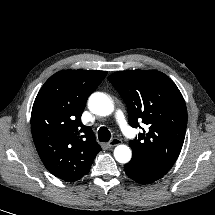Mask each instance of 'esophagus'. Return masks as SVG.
Returning a JSON list of instances; mask_svg holds the SVG:
<instances>
[{
    "label": "esophagus",
    "instance_id": "esophagus-1",
    "mask_svg": "<svg viewBox=\"0 0 215 215\" xmlns=\"http://www.w3.org/2000/svg\"><path fill=\"white\" fill-rule=\"evenodd\" d=\"M119 144H121V140L118 138H113L111 141L108 142L107 147L111 148Z\"/></svg>",
    "mask_w": 215,
    "mask_h": 215
}]
</instances>
